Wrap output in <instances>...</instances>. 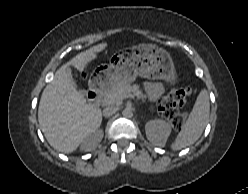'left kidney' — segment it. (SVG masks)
Returning a JSON list of instances; mask_svg holds the SVG:
<instances>
[{
	"label": "left kidney",
	"instance_id": "obj_1",
	"mask_svg": "<svg viewBox=\"0 0 248 194\" xmlns=\"http://www.w3.org/2000/svg\"><path fill=\"white\" fill-rule=\"evenodd\" d=\"M145 131L152 144L164 147L171 133V126L163 120H150L145 125Z\"/></svg>",
	"mask_w": 248,
	"mask_h": 194
}]
</instances>
